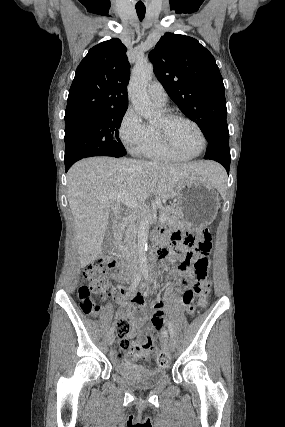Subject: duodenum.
Instances as JSON below:
<instances>
[{
	"mask_svg": "<svg viewBox=\"0 0 285 427\" xmlns=\"http://www.w3.org/2000/svg\"><path fill=\"white\" fill-rule=\"evenodd\" d=\"M126 226V220L123 217H120L118 219H116L115 223H114V227H115V231H116V238L119 239L120 237V232L125 228ZM169 252V245L164 242L158 245V247L155 249V255L157 258H164L166 257V255ZM109 254L111 255H116L117 254V250L116 249H112Z\"/></svg>",
	"mask_w": 285,
	"mask_h": 427,
	"instance_id": "duodenum-1",
	"label": "duodenum"
}]
</instances>
